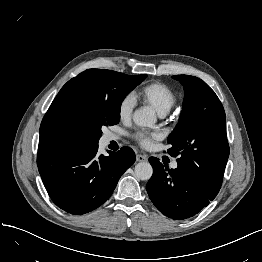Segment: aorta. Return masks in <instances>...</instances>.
<instances>
[{"mask_svg": "<svg viewBox=\"0 0 262 262\" xmlns=\"http://www.w3.org/2000/svg\"><path fill=\"white\" fill-rule=\"evenodd\" d=\"M133 121L138 126L150 127L156 122L155 112L150 108H140L134 112ZM152 173V166L148 162H140L135 166V176L140 180H149Z\"/></svg>", "mask_w": 262, "mask_h": 262, "instance_id": "762f6f07", "label": "aorta"}]
</instances>
